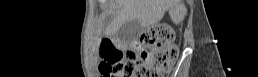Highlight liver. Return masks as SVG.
Wrapping results in <instances>:
<instances>
[{
    "mask_svg": "<svg viewBox=\"0 0 258 77\" xmlns=\"http://www.w3.org/2000/svg\"><path fill=\"white\" fill-rule=\"evenodd\" d=\"M115 4L119 10L112 25L115 30L132 20H138L142 27H149L158 23L167 10H171V18L177 23L186 13L182 0H116Z\"/></svg>",
    "mask_w": 258,
    "mask_h": 77,
    "instance_id": "obj_1",
    "label": "liver"
}]
</instances>
